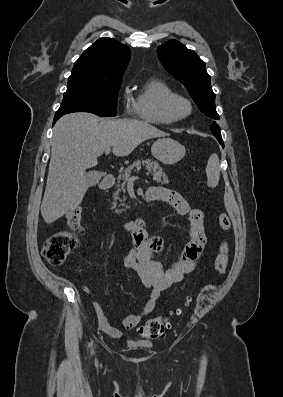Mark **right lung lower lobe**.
Masks as SVG:
<instances>
[{"label":"right lung lower lobe","instance_id":"right-lung-lower-lobe-1","mask_svg":"<svg viewBox=\"0 0 283 397\" xmlns=\"http://www.w3.org/2000/svg\"><path fill=\"white\" fill-rule=\"evenodd\" d=\"M62 116H63L62 114H59V115H56V114H55L54 121H53V125H54L55 122H56L60 117H62Z\"/></svg>","mask_w":283,"mask_h":397}]
</instances>
